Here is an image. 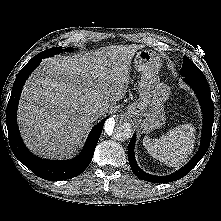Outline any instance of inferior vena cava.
Returning a JSON list of instances; mask_svg holds the SVG:
<instances>
[{
    "instance_id": "1",
    "label": "inferior vena cava",
    "mask_w": 221,
    "mask_h": 221,
    "mask_svg": "<svg viewBox=\"0 0 221 221\" xmlns=\"http://www.w3.org/2000/svg\"><path fill=\"white\" fill-rule=\"evenodd\" d=\"M101 111H96V110H94V114H93V116L95 117V118H98L99 117V113H100Z\"/></svg>"
}]
</instances>
